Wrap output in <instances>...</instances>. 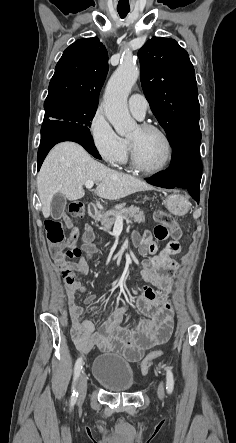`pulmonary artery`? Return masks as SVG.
<instances>
[{
  "mask_svg": "<svg viewBox=\"0 0 236 443\" xmlns=\"http://www.w3.org/2000/svg\"><path fill=\"white\" fill-rule=\"evenodd\" d=\"M128 106L136 118L143 119L148 109V102L142 94L134 93L129 97Z\"/></svg>",
  "mask_w": 236,
  "mask_h": 443,
  "instance_id": "e3ab8cb5",
  "label": "pulmonary artery"
}]
</instances>
